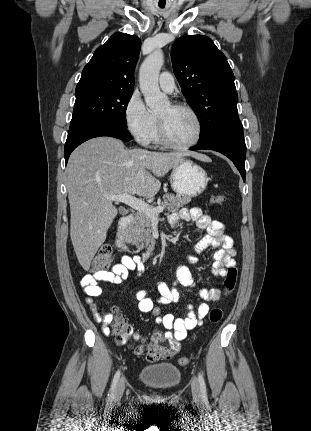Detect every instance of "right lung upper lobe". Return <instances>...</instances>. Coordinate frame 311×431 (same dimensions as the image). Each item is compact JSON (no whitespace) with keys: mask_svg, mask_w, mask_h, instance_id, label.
I'll use <instances>...</instances> for the list:
<instances>
[{"mask_svg":"<svg viewBox=\"0 0 311 431\" xmlns=\"http://www.w3.org/2000/svg\"><path fill=\"white\" fill-rule=\"evenodd\" d=\"M141 40L125 33L113 34L99 46L84 67L76 91L99 88L133 92L134 70Z\"/></svg>","mask_w":311,"mask_h":431,"instance_id":"cb5924a9","label":"right lung upper lobe"}]
</instances>
